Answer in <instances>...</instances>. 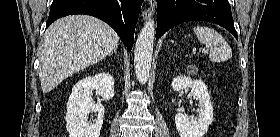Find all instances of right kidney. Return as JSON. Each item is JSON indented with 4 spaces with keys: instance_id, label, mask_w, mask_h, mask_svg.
I'll return each instance as SVG.
<instances>
[{
    "instance_id": "right-kidney-1",
    "label": "right kidney",
    "mask_w": 280,
    "mask_h": 137,
    "mask_svg": "<svg viewBox=\"0 0 280 137\" xmlns=\"http://www.w3.org/2000/svg\"><path fill=\"white\" fill-rule=\"evenodd\" d=\"M96 90L103 99L109 100L114 96V79L109 73H99L78 81L72 88L67 103L66 128L70 137H99L103 118L104 106L94 103L91 95ZM97 113L94 123H89L87 115Z\"/></svg>"
}]
</instances>
